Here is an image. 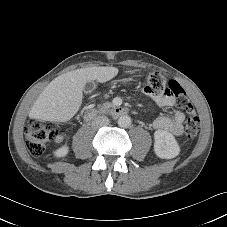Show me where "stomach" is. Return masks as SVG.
I'll list each match as a JSON object with an SVG mask.
<instances>
[{"mask_svg": "<svg viewBox=\"0 0 227 227\" xmlns=\"http://www.w3.org/2000/svg\"><path fill=\"white\" fill-rule=\"evenodd\" d=\"M131 81H132L131 78H123L120 80V83L123 85H129Z\"/></svg>", "mask_w": 227, "mask_h": 227, "instance_id": "stomach-1", "label": "stomach"}]
</instances>
